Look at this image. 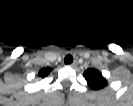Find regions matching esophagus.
I'll list each match as a JSON object with an SVG mask.
<instances>
[{
	"mask_svg": "<svg viewBox=\"0 0 133 106\" xmlns=\"http://www.w3.org/2000/svg\"><path fill=\"white\" fill-rule=\"evenodd\" d=\"M69 67L75 68L77 66V62H73L71 64L68 65Z\"/></svg>",
	"mask_w": 133,
	"mask_h": 106,
	"instance_id": "obj_1",
	"label": "esophagus"
}]
</instances>
